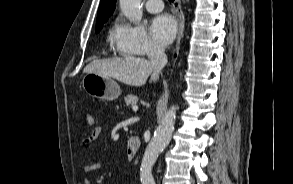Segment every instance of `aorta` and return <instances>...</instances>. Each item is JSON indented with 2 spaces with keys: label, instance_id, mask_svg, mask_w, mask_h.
Returning <instances> with one entry per match:
<instances>
[{
  "label": "aorta",
  "instance_id": "762f6f07",
  "mask_svg": "<svg viewBox=\"0 0 293 184\" xmlns=\"http://www.w3.org/2000/svg\"><path fill=\"white\" fill-rule=\"evenodd\" d=\"M141 0H120V8L124 16L132 23L137 24L142 19L140 8ZM176 107L172 106L159 123L153 138L148 144L144 153L140 178L142 184H155L152 167L158 155L169 144L174 131V121L176 116Z\"/></svg>",
  "mask_w": 293,
  "mask_h": 184
}]
</instances>
